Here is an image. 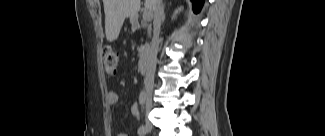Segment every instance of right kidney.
<instances>
[{"mask_svg": "<svg viewBox=\"0 0 325 136\" xmlns=\"http://www.w3.org/2000/svg\"><path fill=\"white\" fill-rule=\"evenodd\" d=\"M182 8H178L177 10H175L172 19H174L176 17V15L181 11Z\"/></svg>", "mask_w": 325, "mask_h": 136, "instance_id": "1", "label": "right kidney"}]
</instances>
